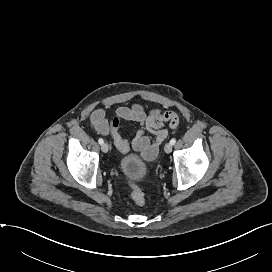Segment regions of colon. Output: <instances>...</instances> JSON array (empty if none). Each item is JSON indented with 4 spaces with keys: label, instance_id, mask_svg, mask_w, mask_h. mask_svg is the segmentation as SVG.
<instances>
[{
    "label": "colon",
    "instance_id": "5ec220e1",
    "mask_svg": "<svg viewBox=\"0 0 272 272\" xmlns=\"http://www.w3.org/2000/svg\"><path fill=\"white\" fill-rule=\"evenodd\" d=\"M129 188L131 191V197L133 201L135 202V204L138 206L145 205L146 199L142 189L135 184H130Z\"/></svg>",
    "mask_w": 272,
    "mask_h": 272
}]
</instances>
